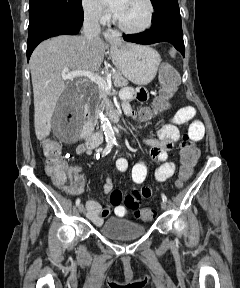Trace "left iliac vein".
<instances>
[{"instance_id": "left-iliac-vein-1", "label": "left iliac vein", "mask_w": 240, "mask_h": 288, "mask_svg": "<svg viewBox=\"0 0 240 288\" xmlns=\"http://www.w3.org/2000/svg\"><path fill=\"white\" fill-rule=\"evenodd\" d=\"M161 208L163 209V210H166L167 209V204H166V202L165 201H161Z\"/></svg>"}]
</instances>
